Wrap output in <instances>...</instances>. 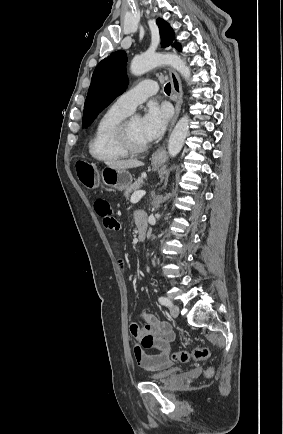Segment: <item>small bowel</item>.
Here are the masks:
<instances>
[{
    "mask_svg": "<svg viewBox=\"0 0 283 434\" xmlns=\"http://www.w3.org/2000/svg\"><path fill=\"white\" fill-rule=\"evenodd\" d=\"M95 212L103 218V223L109 230H118L119 222L112 217L111 204L105 198H98L94 202ZM144 220L142 213H137L136 221ZM144 326L137 323L130 325V333L137 345L134 347V355L138 365L146 370H163L172 365L170 359L171 343L175 340V334L170 325L159 321L152 313L143 314ZM145 348H157L158 353L147 354Z\"/></svg>",
    "mask_w": 283,
    "mask_h": 434,
    "instance_id": "c3829d8e",
    "label": "small bowel"
}]
</instances>
